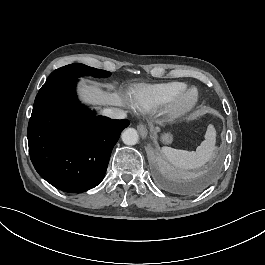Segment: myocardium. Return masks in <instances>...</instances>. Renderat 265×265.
<instances>
[{"mask_svg": "<svg viewBox=\"0 0 265 265\" xmlns=\"http://www.w3.org/2000/svg\"><path fill=\"white\" fill-rule=\"evenodd\" d=\"M202 93L193 84H185L174 99L165 108V116L169 121H176L193 111L200 103Z\"/></svg>", "mask_w": 265, "mask_h": 265, "instance_id": "1", "label": "myocardium"}]
</instances>
